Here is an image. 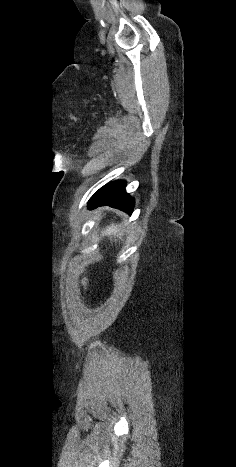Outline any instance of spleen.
<instances>
[{
    "label": "spleen",
    "instance_id": "1",
    "mask_svg": "<svg viewBox=\"0 0 236 467\" xmlns=\"http://www.w3.org/2000/svg\"><path fill=\"white\" fill-rule=\"evenodd\" d=\"M118 231H119V230H118L117 226H113V225H112V226H110V227L107 228V231H106V232H107V234H109V235H111V234L116 235V234L118 233Z\"/></svg>",
    "mask_w": 236,
    "mask_h": 467
}]
</instances>
